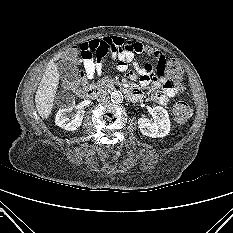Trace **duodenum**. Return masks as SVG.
<instances>
[{
  "mask_svg": "<svg viewBox=\"0 0 233 233\" xmlns=\"http://www.w3.org/2000/svg\"><path fill=\"white\" fill-rule=\"evenodd\" d=\"M123 92L129 99H136V94L133 90L124 89ZM101 93L98 87H92L85 92V96L89 99L96 98Z\"/></svg>",
  "mask_w": 233,
  "mask_h": 233,
  "instance_id": "duodenum-1",
  "label": "duodenum"
}]
</instances>
